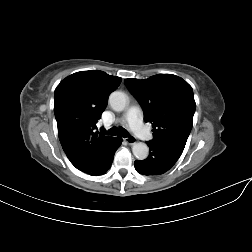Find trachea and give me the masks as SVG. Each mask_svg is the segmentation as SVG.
<instances>
[{
    "mask_svg": "<svg viewBox=\"0 0 252 252\" xmlns=\"http://www.w3.org/2000/svg\"><path fill=\"white\" fill-rule=\"evenodd\" d=\"M106 135H112V136L117 135V136H120V137H127L128 132L122 127H120V128L112 127L106 132Z\"/></svg>",
    "mask_w": 252,
    "mask_h": 252,
    "instance_id": "trachea-1",
    "label": "trachea"
}]
</instances>
